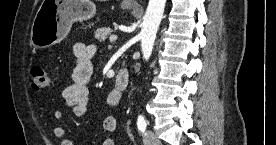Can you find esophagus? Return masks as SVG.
<instances>
[{"label": "esophagus", "mask_w": 276, "mask_h": 145, "mask_svg": "<svg viewBox=\"0 0 276 145\" xmlns=\"http://www.w3.org/2000/svg\"><path fill=\"white\" fill-rule=\"evenodd\" d=\"M124 2L130 5H138V2L136 0H125Z\"/></svg>", "instance_id": "1"}]
</instances>
